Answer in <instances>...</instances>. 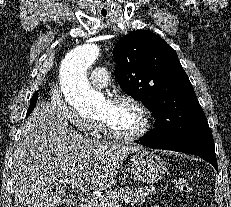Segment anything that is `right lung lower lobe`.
Masks as SVG:
<instances>
[{"instance_id": "98d812e1", "label": "right lung lower lobe", "mask_w": 231, "mask_h": 207, "mask_svg": "<svg viewBox=\"0 0 231 207\" xmlns=\"http://www.w3.org/2000/svg\"><path fill=\"white\" fill-rule=\"evenodd\" d=\"M37 99H38V96H37V93H35L31 99L30 106L28 108L26 116H28L32 112L34 107L36 106Z\"/></svg>"}]
</instances>
